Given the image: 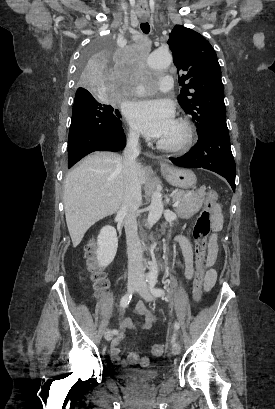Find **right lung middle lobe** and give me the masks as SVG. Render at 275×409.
I'll list each match as a JSON object with an SVG mask.
<instances>
[{
    "mask_svg": "<svg viewBox=\"0 0 275 409\" xmlns=\"http://www.w3.org/2000/svg\"><path fill=\"white\" fill-rule=\"evenodd\" d=\"M118 36H94L79 58L77 89L68 137V164L62 166L61 177L67 178L73 165L94 151H120L126 137L119 111L122 96H107L104 91H124V82H118L114 59H118ZM148 167L146 160L139 162Z\"/></svg>",
    "mask_w": 275,
    "mask_h": 409,
    "instance_id": "1",
    "label": "right lung middle lobe"
}]
</instances>
